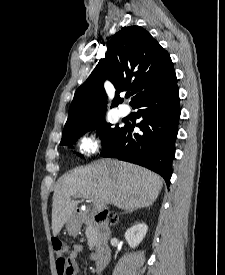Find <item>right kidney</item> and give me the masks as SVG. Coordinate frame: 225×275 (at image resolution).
Instances as JSON below:
<instances>
[{
  "label": "right kidney",
  "instance_id": "right-kidney-1",
  "mask_svg": "<svg viewBox=\"0 0 225 275\" xmlns=\"http://www.w3.org/2000/svg\"><path fill=\"white\" fill-rule=\"evenodd\" d=\"M148 227L144 223H139L125 232V239L131 248H135L140 244L147 233Z\"/></svg>",
  "mask_w": 225,
  "mask_h": 275
}]
</instances>
